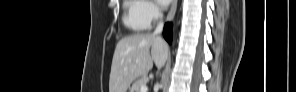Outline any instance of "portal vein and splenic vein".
I'll use <instances>...</instances> for the list:
<instances>
[{"label": "portal vein and splenic vein", "mask_w": 296, "mask_h": 92, "mask_svg": "<svg viewBox=\"0 0 296 92\" xmlns=\"http://www.w3.org/2000/svg\"><path fill=\"white\" fill-rule=\"evenodd\" d=\"M147 90H148V88H147L146 84L141 86V89H140L141 92H147Z\"/></svg>", "instance_id": "obj_1"}]
</instances>
